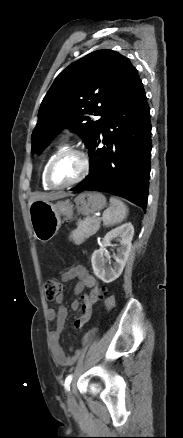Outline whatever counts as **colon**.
Listing matches in <instances>:
<instances>
[{
    "instance_id": "colon-1",
    "label": "colon",
    "mask_w": 183,
    "mask_h": 438,
    "mask_svg": "<svg viewBox=\"0 0 183 438\" xmlns=\"http://www.w3.org/2000/svg\"><path fill=\"white\" fill-rule=\"evenodd\" d=\"M62 284L55 278H50L45 284V294L48 300H55L62 293ZM106 296L104 288L96 285L92 288L89 295H87L83 303V312H87L91 309L92 305L98 300L103 299Z\"/></svg>"
}]
</instances>
